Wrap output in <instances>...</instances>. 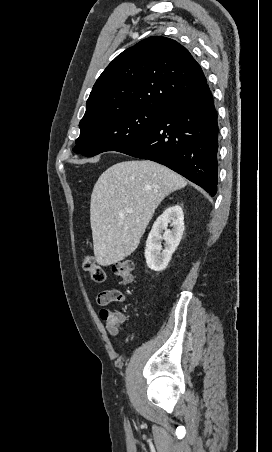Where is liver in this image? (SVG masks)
I'll use <instances>...</instances> for the list:
<instances>
[{
    "mask_svg": "<svg viewBox=\"0 0 272 452\" xmlns=\"http://www.w3.org/2000/svg\"><path fill=\"white\" fill-rule=\"evenodd\" d=\"M186 184L181 175L150 160L120 162L103 172L90 203L97 263L110 266L131 255L159 204Z\"/></svg>",
    "mask_w": 272,
    "mask_h": 452,
    "instance_id": "1",
    "label": "liver"
}]
</instances>
